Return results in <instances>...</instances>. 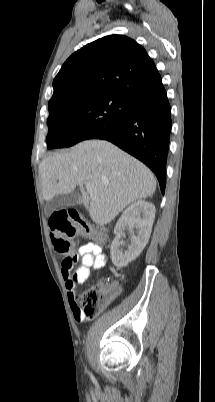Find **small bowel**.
<instances>
[{
	"instance_id": "obj_1",
	"label": "small bowel",
	"mask_w": 215,
	"mask_h": 402,
	"mask_svg": "<svg viewBox=\"0 0 215 402\" xmlns=\"http://www.w3.org/2000/svg\"><path fill=\"white\" fill-rule=\"evenodd\" d=\"M74 258L77 261H81V265L76 271L72 272L71 269L66 268L65 266H61L62 275L66 284V288L68 291V299L70 302V306L73 312V316L77 322H83L89 317L85 316L75 302V293L77 288V283L85 282L92 270H98L103 268L107 264V256L104 254L101 246L88 242L78 249L75 253ZM110 288L116 292L118 290V285L116 282H113L110 285Z\"/></svg>"
}]
</instances>
